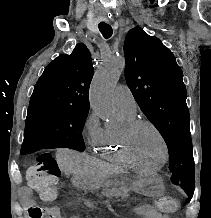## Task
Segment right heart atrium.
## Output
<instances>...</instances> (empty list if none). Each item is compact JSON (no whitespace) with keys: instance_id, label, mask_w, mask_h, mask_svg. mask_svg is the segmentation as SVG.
I'll use <instances>...</instances> for the list:
<instances>
[{"instance_id":"right-heart-atrium-1","label":"right heart atrium","mask_w":211,"mask_h":218,"mask_svg":"<svg viewBox=\"0 0 211 218\" xmlns=\"http://www.w3.org/2000/svg\"><path fill=\"white\" fill-rule=\"evenodd\" d=\"M84 133L88 136L89 142L92 145L96 143L101 138L104 128L101 126L99 118L95 112H91L85 119L83 125Z\"/></svg>"}]
</instances>
